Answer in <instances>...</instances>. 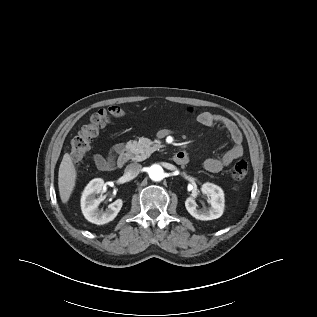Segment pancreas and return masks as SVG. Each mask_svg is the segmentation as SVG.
<instances>
[{"instance_id": "cf45deb5", "label": "pancreas", "mask_w": 317, "mask_h": 317, "mask_svg": "<svg viewBox=\"0 0 317 317\" xmlns=\"http://www.w3.org/2000/svg\"><path fill=\"white\" fill-rule=\"evenodd\" d=\"M160 145H155L150 139L141 137L138 141L127 142L128 157L133 161L147 159Z\"/></svg>"}]
</instances>
